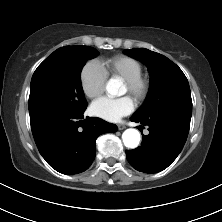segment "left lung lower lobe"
<instances>
[{
  "label": "left lung lower lobe",
  "mask_w": 222,
  "mask_h": 222,
  "mask_svg": "<svg viewBox=\"0 0 222 222\" xmlns=\"http://www.w3.org/2000/svg\"><path fill=\"white\" fill-rule=\"evenodd\" d=\"M131 121L149 126V135L142 134V144L127 150L130 165L144 173L167 168L181 152L190 128L191 116L177 109L158 111L151 115H133Z\"/></svg>",
  "instance_id": "left-lung-lower-lobe-1"
}]
</instances>
